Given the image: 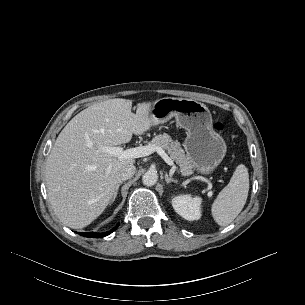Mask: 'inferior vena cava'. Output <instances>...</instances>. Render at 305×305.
I'll use <instances>...</instances> for the list:
<instances>
[{"label":"inferior vena cava","mask_w":305,"mask_h":305,"mask_svg":"<svg viewBox=\"0 0 305 305\" xmlns=\"http://www.w3.org/2000/svg\"><path fill=\"white\" fill-rule=\"evenodd\" d=\"M135 171L136 168L133 164L121 167L116 174L117 181L122 182L130 179L135 174Z\"/></svg>","instance_id":"inferior-vena-cava-1"}]
</instances>
